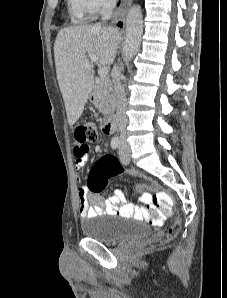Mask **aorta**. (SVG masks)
<instances>
[{
  "label": "aorta",
  "instance_id": "aorta-1",
  "mask_svg": "<svg viewBox=\"0 0 227 298\" xmlns=\"http://www.w3.org/2000/svg\"><path fill=\"white\" fill-rule=\"evenodd\" d=\"M143 33V16L139 5H133L126 18L124 56L131 60L139 51Z\"/></svg>",
  "mask_w": 227,
  "mask_h": 298
}]
</instances>
